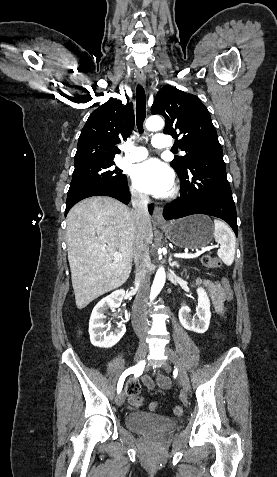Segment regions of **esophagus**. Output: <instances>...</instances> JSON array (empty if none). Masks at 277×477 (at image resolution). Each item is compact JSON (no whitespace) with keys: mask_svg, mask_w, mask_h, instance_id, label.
I'll use <instances>...</instances> for the list:
<instances>
[{"mask_svg":"<svg viewBox=\"0 0 277 477\" xmlns=\"http://www.w3.org/2000/svg\"><path fill=\"white\" fill-rule=\"evenodd\" d=\"M136 77V80L137 82L142 85V86H145L146 84V77L144 75L143 72H140L138 71L135 75ZM153 221L154 223L156 224H165V221L163 219V216H162V209L160 206L156 205L155 208H154V212H153Z\"/></svg>","mask_w":277,"mask_h":477,"instance_id":"1","label":"esophagus"}]
</instances>
